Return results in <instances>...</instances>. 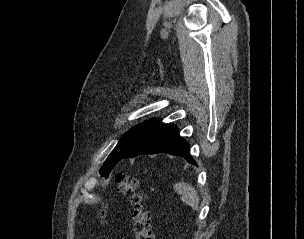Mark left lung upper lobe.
Returning a JSON list of instances; mask_svg holds the SVG:
<instances>
[{
  "label": "left lung upper lobe",
  "mask_w": 304,
  "mask_h": 239,
  "mask_svg": "<svg viewBox=\"0 0 304 239\" xmlns=\"http://www.w3.org/2000/svg\"><path fill=\"white\" fill-rule=\"evenodd\" d=\"M163 125L159 119H151L133 127L125 133L104 162L99 171L100 174L107 178L114 166L128 151Z\"/></svg>",
  "instance_id": "1"
}]
</instances>
